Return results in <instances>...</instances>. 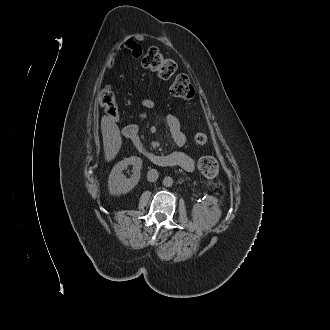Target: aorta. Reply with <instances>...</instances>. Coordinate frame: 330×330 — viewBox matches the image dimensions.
Segmentation results:
<instances>
[{
	"mask_svg": "<svg viewBox=\"0 0 330 330\" xmlns=\"http://www.w3.org/2000/svg\"><path fill=\"white\" fill-rule=\"evenodd\" d=\"M163 185L165 187H171L173 185V179L171 177H169V176L165 177L163 179Z\"/></svg>",
	"mask_w": 330,
	"mask_h": 330,
	"instance_id": "1",
	"label": "aorta"
}]
</instances>
